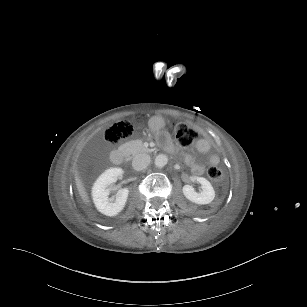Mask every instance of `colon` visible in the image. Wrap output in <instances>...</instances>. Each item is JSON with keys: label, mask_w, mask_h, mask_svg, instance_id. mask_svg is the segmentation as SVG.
<instances>
[{"label": "colon", "mask_w": 307, "mask_h": 307, "mask_svg": "<svg viewBox=\"0 0 307 307\" xmlns=\"http://www.w3.org/2000/svg\"><path fill=\"white\" fill-rule=\"evenodd\" d=\"M139 125L137 120H122L112 125L106 132L104 139L108 144H118L132 136L135 127ZM174 136L182 147L190 146L196 138V133L185 122L175 121L172 125ZM209 178L214 182L224 179V172L218 166H212L208 170Z\"/></svg>", "instance_id": "1"}]
</instances>
